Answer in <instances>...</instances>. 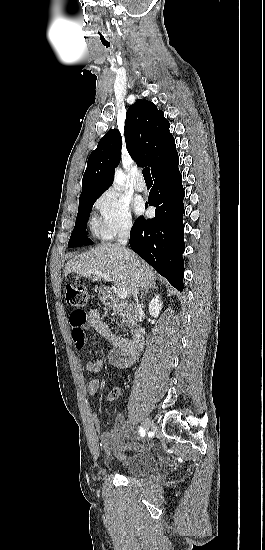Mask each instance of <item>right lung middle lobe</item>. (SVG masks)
Here are the masks:
<instances>
[{
	"label": "right lung middle lobe",
	"instance_id": "dd1d6c3e",
	"mask_svg": "<svg viewBox=\"0 0 265 550\" xmlns=\"http://www.w3.org/2000/svg\"><path fill=\"white\" fill-rule=\"evenodd\" d=\"M97 198L98 197L79 199V209L76 223L68 242V248L90 244V241L86 236V225L92 206Z\"/></svg>",
	"mask_w": 265,
	"mask_h": 550
}]
</instances>
